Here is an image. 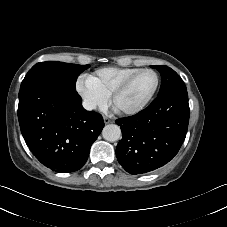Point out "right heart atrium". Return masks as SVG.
I'll return each mask as SVG.
<instances>
[{
	"label": "right heart atrium",
	"instance_id": "right-heart-atrium-1",
	"mask_svg": "<svg viewBox=\"0 0 227 227\" xmlns=\"http://www.w3.org/2000/svg\"><path fill=\"white\" fill-rule=\"evenodd\" d=\"M76 88L90 109H103L109 101V95L97 87L88 77L80 78Z\"/></svg>",
	"mask_w": 227,
	"mask_h": 227
}]
</instances>
